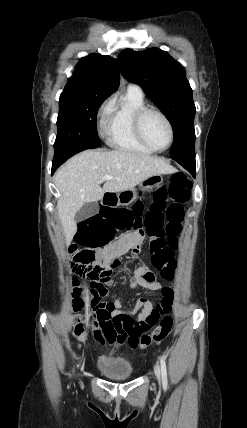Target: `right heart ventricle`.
Segmentation results:
<instances>
[{"mask_svg": "<svg viewBox=\"0 0 247 428\" xmlns=\"http://www.w3.org/2000/svg\"><path fill=\"white\" fill-rule=\"evenodd\" d=\"M145 106L144 94L136 86H129L118 100L110 105L105 121V134L111 147L134 153H152L138 140L133 128L134 114Z\"/></svg>", "mask_w": 247, "mask_h": 428, "instance_id": "right-heart-ventricle-1", "label": "right heart ventricle"}]
</instances>
